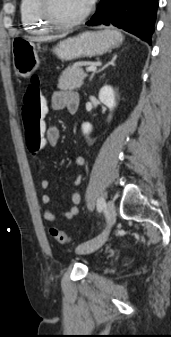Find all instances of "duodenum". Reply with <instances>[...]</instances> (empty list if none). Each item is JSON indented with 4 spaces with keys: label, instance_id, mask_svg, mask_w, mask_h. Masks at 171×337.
Segmentation results:
<instances>
[{
    "label": "duodenum",
    "instance_id": "1",
    "mask_svg": "<svg viewBox=\"0 0 171 337\" xmlns=\"http://www.w3.org/2000/svg\"><path fill=\"white\" fill-rule=\"evenodd\" d=\"M77 109H78V106L75 104V105H70L68 110L70 113L73 114L77 111Z\"/></svg>",
    "mask_w": 171,
    "mask_h": 337
}]
</instances>
